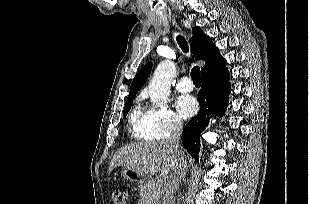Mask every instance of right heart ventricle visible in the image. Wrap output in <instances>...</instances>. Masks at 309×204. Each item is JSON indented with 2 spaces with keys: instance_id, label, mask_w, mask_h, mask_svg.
Returning a JSON list of instances; mask_svg holds the SVG:
<instances>
[{
  "instance_id": "1",
  "label": "right heart ventricle",
  "mask_w": 309,
  "mask_h": 204,
  "mask_svg": "<svg viewBox=\"0 0 309 204\" xmlns=\"http://www.w3.org/2000/svg\"><path fill=\"white\" fill-rule=\"evenodd\" d=\"M147 112H144L139 105H136L128 120V130L136 139H149L146 134Z\"/></svg>"
}]
</instances>
